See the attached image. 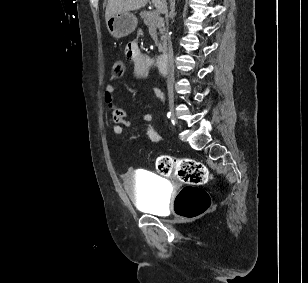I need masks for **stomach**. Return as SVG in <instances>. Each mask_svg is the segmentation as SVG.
Listing matches in <instances>:
<instances>
[{
	"label": "stomach",
	"mask_w": 308,
	"mask_h": 283,
	"mask_svg": "<svg viewBox=\"0 0 308 283\" xmlns=\"http://www.w3.org/2000/svg\"><path fill=\"white\" fill-rule=\"evenodd\" d=\"M137 18L130 12L116 13L107 21V29L112 37L123 38L131 34L137 27Z\"/></svg>",
	"instance_id": "stomach-1"
}]
</instances>
